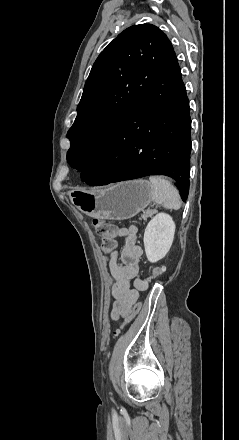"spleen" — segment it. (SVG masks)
I'll return each instance as SVG.
<instances>
[{
    "label": "spleen",
    "instance_id": "1",
    "mask_svg": "<svg viewBox=\"0 0 239 440\" xmlns=\"http://www.w3.org/2000/svg\"><path fill=\"white\" fill-rule=\"evenodd\" d=\"M149 180L153 186L152 198L156 204H162L167 210L181 208L179 192L169 180H165L164 176H150Z\"/></svg>",
    "mask_w": 239,
    "mask_h": 440
}]
</instances>
